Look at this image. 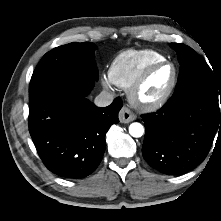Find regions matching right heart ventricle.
Listing matches in <instances>:
<instances>
[{"label":"right heart ventricle","mask_w":221,"mask_h":221,"mask_svg":"<svg viewBox=\"0 0 221 221\" xmlns=\"http://www.w3.org/2000/svg\"><path fill=\"white\" fill-rule=\"evenodd\" d=\"M164 59V55L151 49L124 51L112 61L109 78L117 86L128 89L148 65Z\"/></svg>","instance_id":"e07e8e85"}]
</instances>
